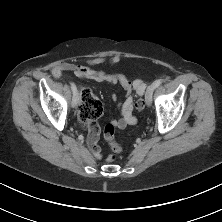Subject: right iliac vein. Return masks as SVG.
I'll use <instances>...</instances> for the list:
<instances>
[{"instance_id":"obj_1","label":"right iliac vein","mask_w":222,"mask_h":222,"mask_svg":"<svg viewBox=\"0 0 222 222\" xmlns=\"http://www.w3.org/2000/svg\"><path fill=\"white\" fill-rule=\"evenodd\" d=\"M79 103V95L78 93L76 92L73 96V99H72V106L73 107H76L77 104Z\"/></svg>"}]
</instances>
